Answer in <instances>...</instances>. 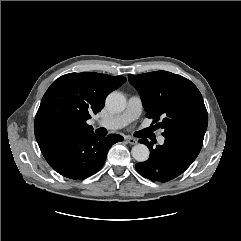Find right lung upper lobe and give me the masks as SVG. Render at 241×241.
<instances>
[{
  "label": "right lung upper lobe",
  "instance_id": "cb5924a9",
  "mask_svg": "<svg viewBox=\"0 0 241 241\" xmlns=\"http://www.w3.org/2000/svg\"><path fill=\"white\" fill-rule=\"evenodd\" d=\"M126 81L123 76L95 72L59 77L44 94L34 132L38 144L74 134L93 132L86 121L104 107L107 95Z\"/></svg>",
  "mask_w": 241,
  "mask_h": 241
}]
</instances>
